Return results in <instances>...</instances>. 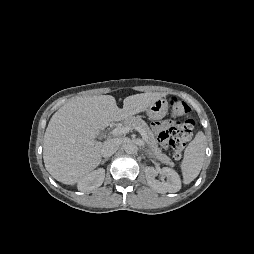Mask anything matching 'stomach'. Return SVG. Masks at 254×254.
Wrapping results in <instances>:
<instances>
[{"instance_id": "1", "label": "stomach", "mask_w": 254, "mask_h": 254, "mask_svg": "<svg viewBox=\"0 0 254 254\" xmlns=\"http://www.w3.org/2000/svg\"><path fill=\"white\" fill-rule=\"evenodd\" d=\"M168 111V102L166 99L159 98L154 101L147 109V115L153 120H160L165 117Z\"/></svg>"}]
</instances>
